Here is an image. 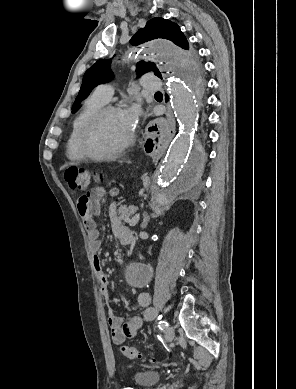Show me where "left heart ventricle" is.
Masks as SVG:
<instances>
[{
	"instance_id": "b2bd125f",
	"label": "left heart ventricle",
	"mask_w": 296,
	"mask_h": 389,
	"mask_svg": "<svg viewBox=\"0 0 296 389\" xmlns=\"http://www.w3.org/2000/svg\"><path fill=\"white\" fill-rule=\"evenodd\" d=\"M132 126L124 112L106 115L97 125L92 136V147L96 151L114 149L130 136Z\"/></svg>"
}]
</instances>
